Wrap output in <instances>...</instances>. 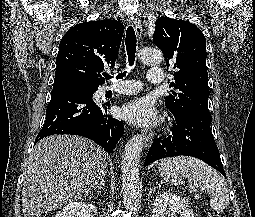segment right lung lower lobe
I'll return each mask as SVG.
<instances>
[{
  "mask_svg": "<svg viewBox=\"0 0 255 217\" xmlns=\"http://www.w3.org/2000/svg\"><path fill=\"white\" fill-rule=\"evenodd\" d=\"M96 90L53 88L46 121L34 144L53 134H71L89 138L112 153L123 135L124 126L106 113L110 103L93 101Z\"/></svg>",
  "mask_w": 255,
  "mask_h": 217,
  "instance_id": "obj_1",
  "label": "right lung lower lobe"
}]
</instances>
